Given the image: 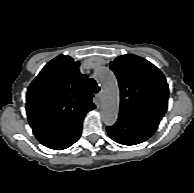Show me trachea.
Returning <instances> with one entry per match:
<instances>
[{"instance_id":"3493384b","label":"trachea","mask_w":194,"mask_h":193,"mask_svg":"<svg viewBox=\"0 0 194 193\" xmlns=\"http://www.w3.org/2000/svg\"><path fill=\"white\" fill-rule=\"evenodd\" d=\"M88 87L93 93H98L100 91V87L98 86L94 79H90L88 81Z\"/></svg>"}]
</instances>
